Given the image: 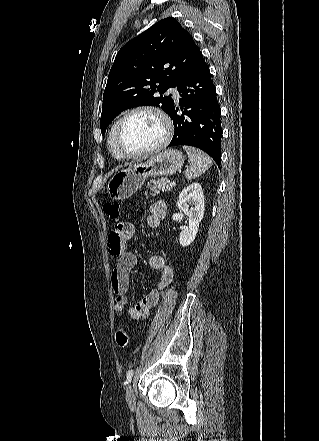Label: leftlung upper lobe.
Instances as JSON below:
<instances>
[{"label":"left lung upper lobe","mask_w":319,"mask_h":441,"mask_svg":"<svg viewBox=\"0 0 319 441\" xmlns=\"http://www.w3.org/2000/svg\"><path fill=\"white\" fill-rule=\"evenodd\" d=\"M200 55L193 37L172 17L126 43L115 57L103 94L102 135L128 108L157 106L169 115L174 101L163 93L178 85Z\"/></svg>","instance_id":"5c2ea615"}]
</instances>
